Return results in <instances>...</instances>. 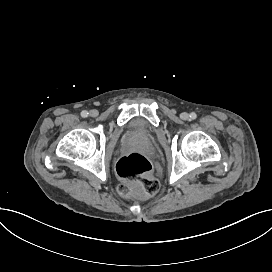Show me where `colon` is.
<instances>
[{
	"mask_svg": "<svg viewBox=\"0 0 272 272\" xmlns=\"http://www.w3.org/2000/svg\"><path fill=\"white\" fill-rule=\"evenodd\" d=\"M151 169L150 161L138 152L123 156L116 164V172L126 182L118 186V191L123 195H156L160 183L151 175Z\"/></svg>",
	"mask_w": 272,
	"mask_h": 272,
	"instance_id": "1",
	"label": "colon"
}]
</instances>
